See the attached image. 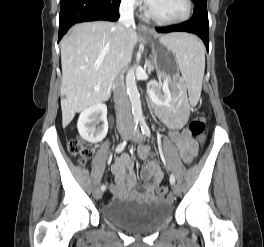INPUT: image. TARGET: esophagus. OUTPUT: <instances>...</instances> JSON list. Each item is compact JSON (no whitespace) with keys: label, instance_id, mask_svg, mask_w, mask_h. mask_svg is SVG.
Wrapping results in <instances>:
<instances>
[{"label":"esophagus","instance_id":"1","mask_svg":"<svg viewBox=\"0 0 264 247\" xmlns=\"http://www.w3.org/2000/svg\"><path fill=\"white\" fill-rule=\"evenodd\" d=\"M139 28L140 30L143 32V33H149V29L147 26L143 25V24H140L139 25Z\"/></svg>","mask_w":264,"mask_h":247}]
</instances>
